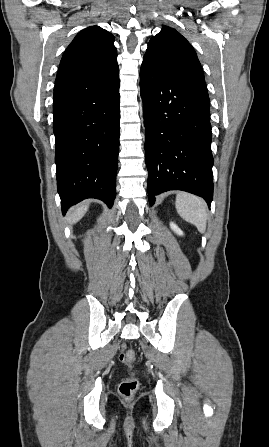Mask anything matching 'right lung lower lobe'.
<instances>
[{"label": "right lung lower lobe", "mask_w": 269, "mask_h": 447, "mask_svg": "<svg viewBox=\"0 0 269 447\" xmlns=\"http://www.w3.org/2000/svg\"><path fill=\"white\" fill-rule=\"evenodd\" d=\"M119 68L55 84L56 176L63 214L86 198L111 208L119 152Z\"/></svg>", "instance_id": "98d812e1"}]
</instances>
